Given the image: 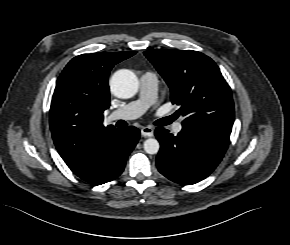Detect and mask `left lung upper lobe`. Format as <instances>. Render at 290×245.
Masks as SVG:
<instances>
[{
  "instance_id": "left-lung-upper-lobe-1",
  "label": "left lung upper lobe",
  "mask_w": 290,
  "mask_h": 245,
  "mask_svg": "<svg viewBox=\"0 0 290 245\" xmlns=\"http://www.w3.org/2000/svg\"><path fill=\"white\" fill-rule=\"evenodd\" d=\"M145 56L171 90L183 128H195L229 141L234 123L231 89L216 63L192 50H148Z\"/></svg>"
}]
</instances>
